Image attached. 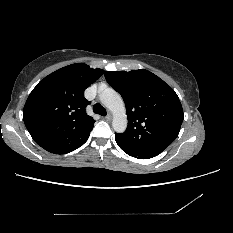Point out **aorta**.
Masks as SVG:
<instances>
[{"mask_svg":"<svg viewBox=\"0 0 233 233\" xmlns=\"http://www.w3.org/2000/svg\"><path fill=\"white\" fill-rule=\"evenodd\" d=\"M100 100L113 113V129L118 133L124 132L127 128V116L120 94L105 87L100 91Z\"/></svg>","mask_w":233,"mask_h":233,"instance_id":"762f6f07","label":"aorta"}]
</instances>
